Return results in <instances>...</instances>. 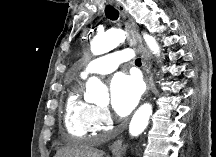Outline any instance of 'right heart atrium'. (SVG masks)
<instances>
[{
	"label": "right heart atrium",
	"mask_w": 216,
	"mask_h": 157,
	"mask_svg": "<svg viewBox=\"0 0 216 157\" xmlns=\"http://www.w3.org/2000/svg\"><path fill=\"white\" fill-rule=\"evenodd\" d=\"M90 121L93 132H102L111 125L112 117L107 108L94 106Z\"/></svg>",
	"instance_id": "right-heart-atrium-1"
}]
</instances>
